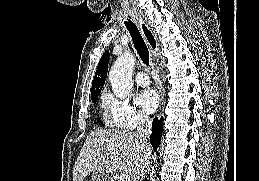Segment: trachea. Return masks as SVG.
I'll use <instances>...</instances> for the list:
<instances>
[{
  "mask_svg": "<svg viewBox=\"0 0 259 181\" xmlns=\"http://www.w3.org/2000/svg\"><path fill=\"white\" fill-rule=\"evenodd\" d=\"M125 26L130 33L134 47L138 55L140 56L142 62L146 66H149V59H150L149 49L144 39L142 38V35L140 34L137 26L130 20L125 22Z\"/></svg>",
  "mask_w": 259,
  "mask_h": 181,
  "instance_id": "trachea-1",
  "label": "trachea"
}]
</instances>
